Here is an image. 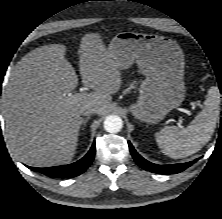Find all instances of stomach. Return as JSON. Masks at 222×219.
<instances>
[{"mask_svg": "<svg viewBox=\"0 0 222 219\" xmlns=\"http://www.w3.org/2000/svg\"><path fill=\"white\" fill-rule=\"evenodd\" d=\"M107 51L120 69H127L136 62L145 75L137 102L129 106L136 119L157 123L183 102L185 62L177 42L154 34L119 32Z\"/></svg>", "mask_w": 222, "mask_h": 219, "instance_id": "stomach-1", "label": "stomach"}]
</instances>
